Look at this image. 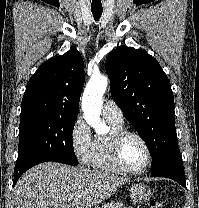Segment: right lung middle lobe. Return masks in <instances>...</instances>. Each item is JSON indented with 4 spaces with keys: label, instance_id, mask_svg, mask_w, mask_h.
Here are the masks:
<instances>
[{
    "label": "right lung middle lobe",
    "instance_id": "right-lung-middle-lobe-1",
    "mask_svg": "<svg viewBox=\"0 0 199 208\" xmlns=\"http://www.w3.org/2000/svg\"><path fill=\"white\" fill-rule=\"evenodd\" d=\"M75 119L42 112L21 114L14 172L47 161L77 165L72 140Z\"/></svg>",
    "mask_w": 199,
    "mask_h": 208
}]
</instances>
